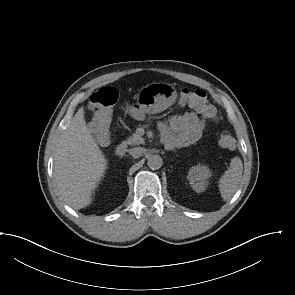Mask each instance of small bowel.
<instances>
[{"label":"small bowel","instance_id":"1","mask_svg":"<svg viewBox=\"0 0 295 295\" xmlns=\"http://www.w3.org/2000/svg\"><path fill=\"white\" fill-rule=\"evenodd\" d=\"M135 118H142L143 111L137 106L127 107ZM159 129L165 144L170 148H181L196 142L204 130V121L194 112L174 114L168 122H161Z\"/></svg>","mask_w":295,"mask_h":295}]
</instances>
